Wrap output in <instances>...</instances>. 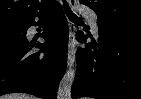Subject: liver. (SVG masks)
<instances>
[{"mask_svg": "<svg viewBox=\"0 0 141 99\" xmlns=\"http://www.w3.org/2000/svg\"><path fill=\"white\" fill-rule=\"evenodd\" d=\"M1 99H37L35 96H30L27 94H10L2 96Z\"/></svg>", "mask_w": 141, "mask_h": 99, "instance_id": "6515ba94", "label": "liver"}]
</instances>
